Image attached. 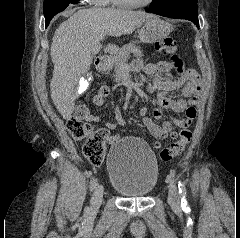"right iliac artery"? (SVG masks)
<instances>
[{"instance_id":"1","label":"right iliac artery","mask_w":240,"mask_h":238,"mask_svg":"<svg viewBox=\"0 0 240 238\" xmlns=\"http://www.w3.org/2000/svg\"><path fill=\"white\" fill-rule=\"evenodd\" d=\"M97 185V181L95 178H93L90 182V190L92 191Z\"/></svg>"}]
</instances>
